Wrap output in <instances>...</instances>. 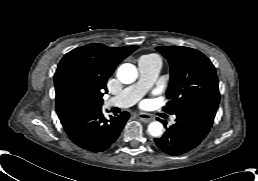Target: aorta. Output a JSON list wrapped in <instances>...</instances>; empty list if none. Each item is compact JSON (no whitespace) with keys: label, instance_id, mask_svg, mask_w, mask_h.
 <instances>
[{"label":"aorta","instance_id":"obj_1","mask_svg":"<svg viewBox=\"0 0 258 181\" xmlns=\"http://www.w3.org/2000/svg\"><path fill=\"white\" fill-rule=\"evenodd\" d=\"M137 77L138 71L133 64H122L117 70V78L123 84H131L136 81ZM163 129V125L159 121H153L148 125V132L153 137H160Z\"/></svg>","mask_w":258,"mask_h":181}]
</instances>
